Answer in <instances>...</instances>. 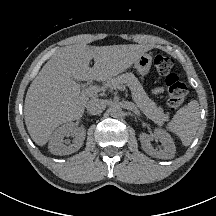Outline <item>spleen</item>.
<instances>
[{
	"label": "spleen",
	"mask_w": 216,
	"mask_h": 216,
	"mask_svg": "<svg viewBox=\"0 0 216 216\" xmlns=\"http://www.w3.org/2000/svg\"><path fill=\"white\" fill-rule=\"evenodd\" d=\"M200 121V109L196 100L181 108L167 124V129L176 134L184 146H189L196 135Z\"/></svg>",
	"instance_id": "obj_1"
}]
</instances>
